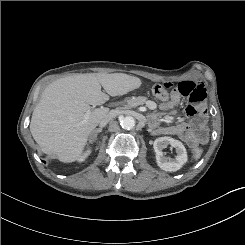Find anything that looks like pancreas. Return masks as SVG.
<instances>
[{"label":"pancreas","mask_w":245,"mask_h":245,"mask_svg":"<svg viewBox=\"0 0 245 245\" xmlns=\"http://www.w3.org/2000/svg\"><path fill=\"white\" fill-rule=\"evenodd\" d=\"M146 98L145 97H132L131 99H126L121 103L124 108H132L136 107L138 105H143L146 103Z\"/></svg>","instance_id":"cf45deb5"}]
</instances>
